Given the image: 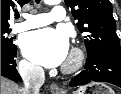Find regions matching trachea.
Returning a JSON list of instances; mask_svg holds the SVG:
<instances>
[{
    "label": "trachea",
    "mask_w": 121,
    "mask_h": 94,
    "mask_svg": "<svg viewBox=\"0 0 121 94\" xmlns=\"http://www.w3.org/2000/svg\"><path fill=\"white\" fill-rule=\"evenodd\" d=\"M39 1H40V0H36V3H39ZM19 17H20L19 14H16V15H15V18H16V19H18Z\"/></svg>",
    "instance_id": "trachea-1"
}]
</instances>
